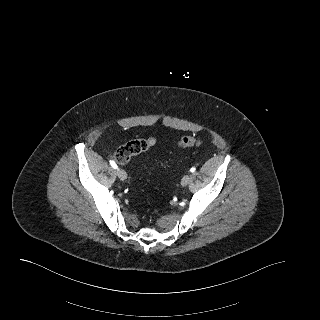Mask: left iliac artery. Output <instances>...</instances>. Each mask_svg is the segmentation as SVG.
Wrapping results in <instances>:
<instances>
[{
  "mask_svg": "<svg viewBox=\"0 0 320 320\" xmlns=\"http://www.w3.org/2000/svg\"><path fill=\"white\" fill-rule=\"evenodd\" d=\"M190 171L193 173V172L195 171V168L192 167V168L190 169Z\"/></svg>",
  "mask_w": 320,
  "mask_h": 320,
  "instance_id": "44dca946",
  "label": "left iliac artery"
}]
</instances>
